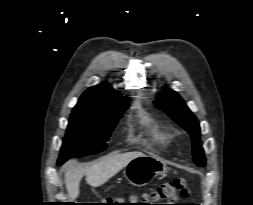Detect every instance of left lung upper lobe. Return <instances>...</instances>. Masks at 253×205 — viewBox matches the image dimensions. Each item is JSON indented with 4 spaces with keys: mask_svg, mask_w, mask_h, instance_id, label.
<instances>
[{
    "mask_svg": "<svg viewBox=\"0 0 253 205\" xmlns=\"http://www.w3.org/2000/svg\"><path fill=\"white\" fill-rule=\"evenodd\" d=\"M155 105L164 110L175 122L191 135L194 161L198 166L205 165L204 152L200 146L199 139V122L185 105L181 97L172 90L164 91L157 96Z\"/></svg>",
    "mask_w": 253,
    "mask_h": 205,
    "instance_id": "5c2ea615",
    "label": "left lung upper lobe"
}]
</instances>
